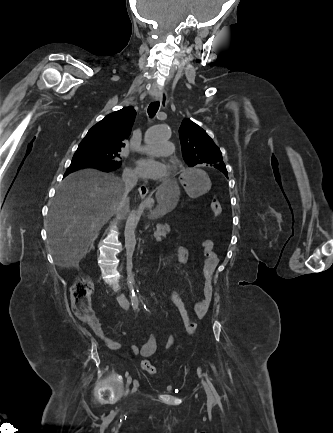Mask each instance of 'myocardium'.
Returning a JSON list of instances; mask_svg holds the SVG:
<instances>
[{"label":"myocardium","mask_w":333,"mask_h":433,"mask_svg":"<svg viewBox=\"0 0 333 433\" xmlns=\"http://www.w3.org/2000/svg\"><path fill=\"white\" fill-rule=\"evenodd\" d=\"M172 168H171V166H168V171H170Z\"/></svg>","instance_id":"obj_1"}]
</instances>
